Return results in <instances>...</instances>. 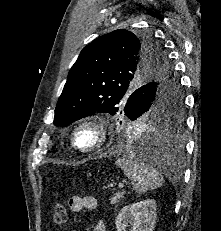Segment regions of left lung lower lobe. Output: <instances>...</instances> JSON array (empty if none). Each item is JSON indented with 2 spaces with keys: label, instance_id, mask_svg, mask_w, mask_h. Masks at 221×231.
I'll list each match as a JSON object with an SVG mask.
<instances>
[{
  "label": "left lung lower lobe",
  "instance_id": "obj_1",
  "mask_svg": "<svg viewBox=\"0 0 221 231\" xmlns=\"http://www.w3.org/2000/svg\"><path fill=\"white\" fill-rule=\"evenodd\" d=\"M180 96H182V93H180ZM139 99V91H135L131 96L130 102L135 106ZM131 107H133V105H131ZM133 115L134 113H132L129 117V119L132 121L137 119V115L134 117ZM182 125L183 121L176 126H172V130H175V132L173 133V131H171V134L168 138H164L161 133L149 128L143 131H126L123 133L121 138L140 147L143 152L147 153L146 158L149 162H152L153 164L165 165L176 161L183 151V141L180 135ZM153 127L157 129L160 128L157 124H154Z\"/></svg>",
  "mask_w": 221,
  "mask_h": 231
}]
</instances>
